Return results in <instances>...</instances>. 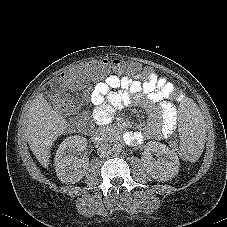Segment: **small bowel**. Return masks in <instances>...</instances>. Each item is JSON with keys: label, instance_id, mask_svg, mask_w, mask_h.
I'll return each instance as SVG.
<instances>
[{"label": "small bowel", "instance_id": "1", "mask_svg": "<svg viewBox=\"0 0 227 227\" xmlns=\"http://www.w3.org/2000/svg\"><path fill=\"white\" fill-rule=\"evenodd\" d=\"M174 91L173 83L162 76L158 80H147L137 75H109L98 82L86 97L94 105L93 119L97 125L108 124L115 107L120 104L142 100L150 111L146 129L124 134L127 143L139 144L145 139H166L168 132L176 131V110L168 100Z\"/></svg>", "mask_w": 227, "mask_h": 227}]
</instances>
